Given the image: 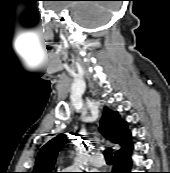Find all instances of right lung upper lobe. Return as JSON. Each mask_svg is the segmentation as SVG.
<instances>
[{"mask_svg":"<svg viewBox=\"0 0 170 173\" xmlns=\"http://www.w3.org/2000/svg\"><path fill=\"white\" fill-rule=\"evenodd\" d=\"M100 131L111 142L121 146L118 151L124 150L132 144L131 132L127 127V123L120 118L118 112L112 111L107 107L103 111ZM67 139V135L59 134L45 144L39 151L32 173H52L51 170L54 167L56 156L68 142Z\"/></svg>","mask_w":170,"mask_h":173,"instance_id":"1","label":"right lung upper lobe"}]
</instances>
